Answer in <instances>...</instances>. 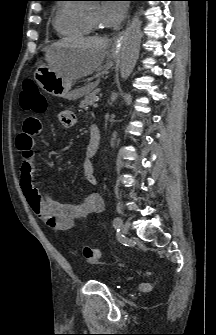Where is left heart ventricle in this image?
<instances>
[{"instance_id": "b2bd125f", "label": "left heart ventricle", "mask_w": 216, "mask_h": 335, "mask_svg": "<svg viewBox=\"0 0 216 335\" xmlns=\"http://www.w3.org/2000/svg\"><path fill=\"white\" fill-rule=\"evenodd\" d=\"M85 13L92 22H94L95 24L101 25L100 20H99V8L97 6L88 9Z\"/></svg>"}]
</instances>
